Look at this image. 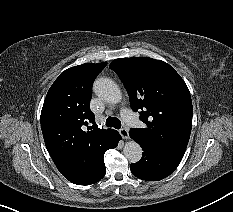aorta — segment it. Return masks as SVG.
<instances>
[{"mask_svg":"<svg viewBox=\"0 0 233 212\" xmlns=\"http://www.w3.org/2000/svg\"><path fill=\"white\" fill-rule=\"evenodd\" d=\"M95 94L110 104H117L122 99V93L119 86L108 78H98L93 84ZM123 153L131 163H136L142 158V148L135 141H128Z\"/></svg>","mask_w":233,"mask_h":212,"instance_id":"aorta-1","label":"aorta"}]
</instances>
